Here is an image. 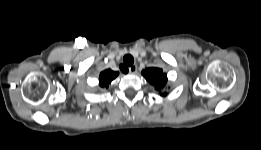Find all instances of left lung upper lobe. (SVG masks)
<instances>
[{
  "instance_id": "left-lung-upper-lobe-1",
  "label": "left lung upper lobe",
  "mask_w": 261,
  "mask_h": 150,
  "mask_svg": "<svg viewBox=\"0 0 261 150\" xmlns=\"http://www.w3.org/2000/svg\"><path fill=\"white\" fill-rule=\"evenodd\" d=\"M142 75L156 90H161L167 83V75L163 73L162 69L159 68H147L142 71ZM164 96L166 93L163 94Z\"/></svg>"
}]
</instances>
